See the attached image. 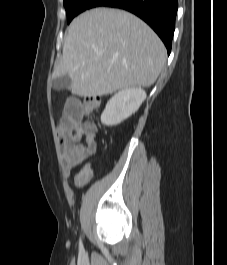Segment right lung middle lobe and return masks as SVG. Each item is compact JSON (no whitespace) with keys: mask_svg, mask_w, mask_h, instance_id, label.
<instances>
[{"mask_svg":"<svg viewBox=\"0 0 227 265\" xmlns=\"http://www.w3.org/2000/svg\"><path fill=\"white\" fill-rule=\"evenodd\" d=\"M94 0H64V6L67 12V23L79 13L88 9Z\"/></svg>","mask_w":227,"mask_h":265,"instance_id":"obj_1","label":"right lung middle lobe"}]
</instances>
